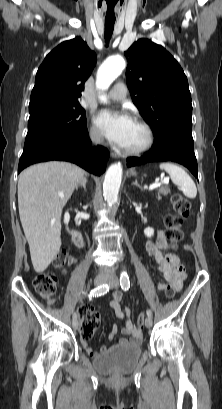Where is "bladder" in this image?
I'll return each instance as SVG.
<instances>
[{
	"label": "bladder",
	"mask_w": 222,
	"mask_h": 409,
	"mask_svg": "<svg viewBox=\"0 0 222 409\" xmlns=\"http://www.w3.org/2000/svg\"><path fill=\"white\" fill-rule=\"evenodd\" d=\"M141 353L139 344L115 345L95 356L93 367L105 375L129 374L136 368Z\"/></svg>",
	"instance_id": "31cf9c89"
}]
</instances>
